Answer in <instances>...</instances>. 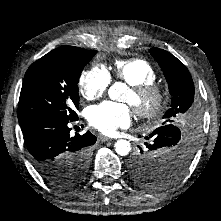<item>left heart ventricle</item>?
Wrapping results in <instances>:
<instances>
[{"label": "left heart ventricle", "instance_id": "b2bd125f", "mask_svg": "<svg viewBox=\"0 0 221 221\" xmlns=\"http://www.w3.org/2000/svg\"><path fill=\"white\" fill-rule=\"evenodd\" d=\"M124 101H126V102H128V103H130V104H133V102H134V97H133V95H132V93H131L130 90L127 91V93H126V95H125V97H124Z\"/></svg>", "mask_w": 221, "mask_h": 221}]
</instances>
